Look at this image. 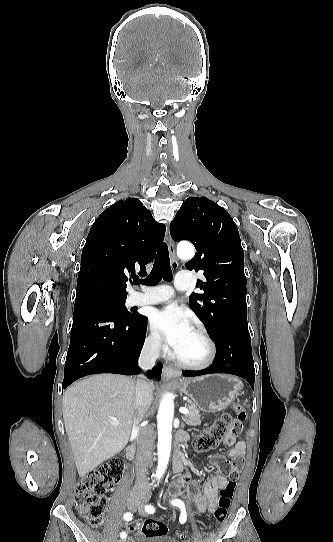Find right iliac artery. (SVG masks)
<instances>
[{
    "instance_id": "right-iliac-artery-1",
    "label": "right iliac artery",
    "mask_w": 333,
    "mask_h": 542,
    "mask_svg": "<svg viewBox=\"0 0 333 542\" xmlns=\"http://www.w3.org/2000/svg\"><path fill=\"white\" fill-rule=\"evenodd\" d=\"M132 516H133V515H132L131 513L127 512V513H125V515H124V519H125L126 521H130V520L133 519ZM126 536H127V534H126L125 532H121V534H120V537H121V538H126Z\"/></svg>"
}]
</instances>
